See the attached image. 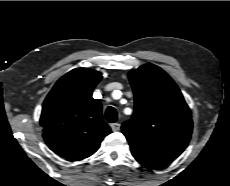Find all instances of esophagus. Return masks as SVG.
<instances>
[{
	"label": "esophagus",
	"instance_id": "1",
	"mask_svg": "<svg viewBox=\"0 0 230 186\" xmlns=\"http://www.w3.org/2000/svg\"><path fill=\"white\" fill-rule=\"evenodd\" d=\"M110 126H111L112 131L120 130V124L119 123H113Z\"/></svg>",
	"mask_w": 230,
	"mask_h": 186
}]
</instances>
